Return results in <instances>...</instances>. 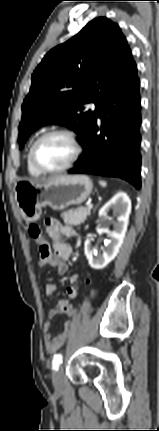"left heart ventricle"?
<instances>
[{
  "label": "left heart ventricle",
  "instance_id": "left-heart-ventricle-1",
  "mask_svg": "<svg viewBox=\"0 0 159 431\" xmlns=\"http://www.w3.org/2000/svg\"><path fill=\"white\" fill-rule=\"evenodd\" d=\"M36 160L44 168L57 169L64 166L73 155L70 140L63 135L44 139L36 148Z\"/></svg>",
  "mask_w": 159,
  "mask_h": 431
}]
</instances>
